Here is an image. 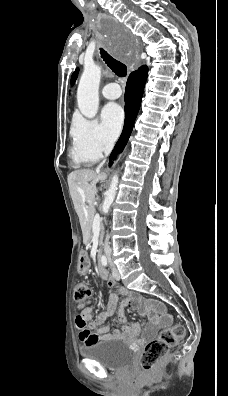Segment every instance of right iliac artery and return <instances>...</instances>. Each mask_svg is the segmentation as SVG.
Returning a JSON list of instances; mask_svg holds the SVG:
<instances>
[{"label":"right iliac artery","mask_w":228,"mask_h":396,"mask_svg":"<svg viewBox=\"0 0 228 396\" xmlns=\"http://www.w3.org/2000/svg\"><path fill=\"white\" fill-rule=\"evenodd\" d=\"M101 263L103 266H107V258L105 256L101 257Z\"/></svg>","instance_id":"82829eb1"}]
</instances>
